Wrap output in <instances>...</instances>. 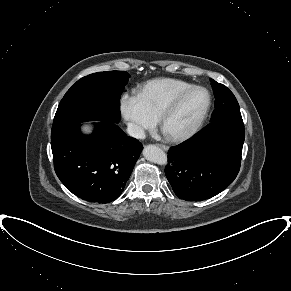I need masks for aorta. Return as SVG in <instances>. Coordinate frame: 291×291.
Wrapping results in <instances>:
<instances>
[{
    "label": "aorta",
    "instance_id": "1",
    "mask_svg": "<svg viewBox=\"0 0 291 291\" xmlns=\"http://www.w3.org/2000/svg\"><path fill=\"white\" fill-rule=\"evenodd\" d=\"M143 156L153 163L159 165L167 164V155L159 147L155 145H147L143 149Z\"/></svg>",
    "mask_w": 291,
    "mask_h": 291
}]
</instances>
